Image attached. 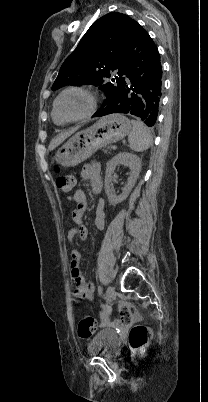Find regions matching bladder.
<instances>
[{
  "mask_svg": "<svg viewBox=\"0 0 208 402\" xmlns=\"http://www.w3.org/2000/svg\"><path fill=\"white\" fill-rule=\"evenodd\" d=\"M121 348V339L119 334L115 333L113 329H101L90 340L88 344V352L90 355H115Z\"/></svg>",
  "mask_w": 208,
  "mask_h": 402,
  "instance_id": "bladder-1",
  "label": "bladder"
}]
</instances>
